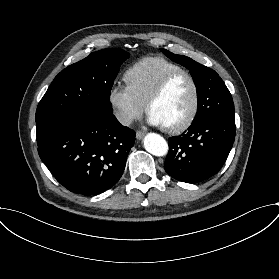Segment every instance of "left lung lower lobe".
Segmentation results:
<instances>
[{
    "instance_id": "0a47b994",
    "label": "left lung lower lobe",
    "mask_w": 279,
    "mask_h": 279,
    "mask_svg": "<svg viewBox=\"0 0 279 279\" xmlns=\"http://www.w3.org/2000/svg\"><path fill=\"white\" fill-rule=\"evenodd\" d=\"M235 119L205 116L180 136L168 139L164 168L178 181L195 183L215 175L226 161L235 139Z\"/></svg>"
}]
</instances>
